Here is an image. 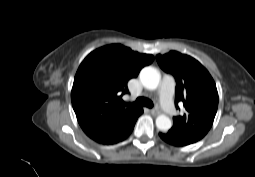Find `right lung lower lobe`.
Listing matches in <instances>:
<instances>
[{"label": "right lung lower lobe", "mask_w": 255, "mask_h": 177, "mask_svg": "<svg viewBox=\"0 0 255 177\" xmlns=\"http://www.w3.org/2000/svg\"><path fill=\"white\" fill-rule=\"evenodd\" d=\"M142 112L143 110L138 108L135 111L120 117L106 128L89 137L98 143L106 145L123 141L131 134L136 120Z\"/></svg>", "instance_id": "1"}]
</instances>
